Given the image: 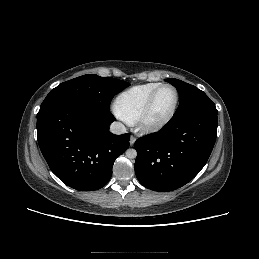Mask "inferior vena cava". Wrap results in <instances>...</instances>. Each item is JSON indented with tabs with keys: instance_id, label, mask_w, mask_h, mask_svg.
Wrapping results in <instances>:
<instances>
[{
	"instance_id": "obj_1",
	"label": "inferior vena cava",
	"mask_w": 259,
	"mask_h": 259,
	"mask_svg": "<svg viewBox=\"0 0 259 259\" xmlns=\"http://www.w3.org/2000/svg\"><path fill=\"white\" fill-rule=\"evenodd\" d=\"M110 131L113 133V134H124L126 133V128L125 126L120 123V122H113L111 125H110Z\"/></svg>"
}]
</instances>
